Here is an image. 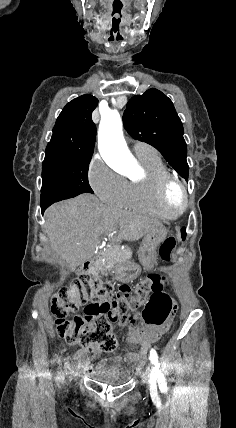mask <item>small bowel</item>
Masks as SVG:
<instances>
[{
	"label": "small bowel",
	"instance_id": "obj_1",
	"mask_svg": "<svg viewBox=\"0 0 236 428\" xmlns=\"http://www.w3.org/2000/svg\"><path fill=\"white\" fill-rule=\"evenodd\" d=\"M121 325L127 327V342L131 345V350L127 352L124 359L127 361L143 360L151 342L159 338L166 328H143L141 321L136 316H131L130 319L122 320ZM97 354L89 355L84 350H79L75 354V359L81 369L86 372H93L95 369L94 359ZM115 359L120 360V357ZM105 360H101L99 365L104 366Z\"/></svg>",
	"mask_w": 236,
	"mask_h": 428
}]
</instances>
